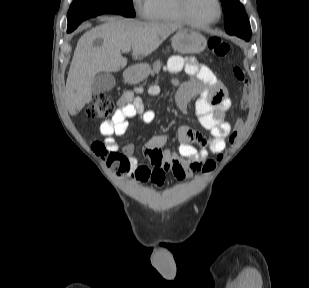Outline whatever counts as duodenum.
<instances>
[{
    "mask_svg": "<svg viewBox=\"0 0 309 288\" xmlns=\"http://www.w3.org/2000/svg\"><path fill=\"white\" fill-rule=\"evenodd\" d=\"M127 74H128V76H132V74H133V71H132V69H127Z\"/></svg>",
    "mask_w": 309,
    "mask_h": 288,
    "instance_id": "duodenum-1",
    "label": "duodenum"
}]
</instances>
